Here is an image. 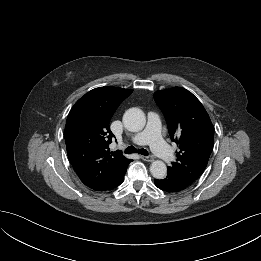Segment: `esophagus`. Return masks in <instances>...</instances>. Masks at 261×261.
<instances>
[{
  "mask_svg": "<svg viewBox=\"0 0 261 261\" xmlns=\"http://www.w3.org/2000/svg\"><path fill=\"white\" fill-rule=\"evenodd\" d=\"M141 158L144 161H148V162H152L153 161V157L152 156H141Z\"/></svg>",
  "mask_w": 261,
  "mask_h": 261,
  "instance_id": "1",
  "label": "esophagus"
}]
</instances>
